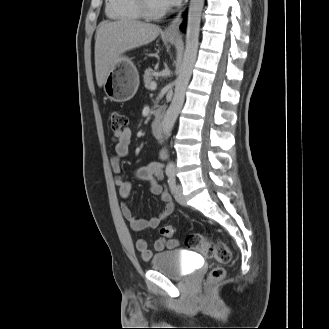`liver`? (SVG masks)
Masks as SVG:
<instances>
[{
  "label": "liver",
  "mask_w": 329,
  "mask_h": 329,
  "mask_svg": "<svg viewBox=\"0 0 329 329\" xmlns=\"http://www.w3.org/2000/svg\"><path fill=\"white\" fill-rule=\"evenodd\" d=\"M161 28L154 24L135 20L104 21L95 39V72L99 87L105 83L109 72L126 51L154 41Z\"/></svg>",
  "instance_id": "1"
}]
</instances>
